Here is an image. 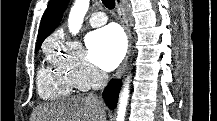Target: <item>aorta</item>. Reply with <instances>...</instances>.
<instances>
[{
    "label": "aorta",
    "mask_w": 217,
    "mask_h": 121,
    "mask_svg": "<svg viewBox=\"0 0 217 121\" xmlns=\"http://www.w3.org/2000/svg\"><path fill=\"white\" fill-rule=\"evenodd\" d=\"M89 0H76L73 7L71 8L69 18H68V27L70 32L73 35H76L84 21V17L89 8ZM129 98V81L125 83L123 91L119 99L117 119L116 121H124L126 115V107Z\"/></svg>",
    "instance_id": "762f6f07"
}]
</instances>
